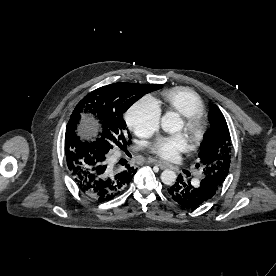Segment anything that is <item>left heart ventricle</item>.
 Here are the masks:
<instances>
[{"label": "left heart ventricle", "instance_id": "obj_1", "mask_svg": "<svg viewBox=\"0 0 276 276\" xmlns=\"http://www.w3.org/2000/svg\"><path fill=\"white\" fill-rule=\"evenodd\" d=\"M179 131H185V130H184V124H183V123H182V125H181Z\"/></svg>", "mask_w": 276, "mask_h": 276}]
</instances>
